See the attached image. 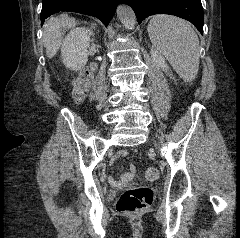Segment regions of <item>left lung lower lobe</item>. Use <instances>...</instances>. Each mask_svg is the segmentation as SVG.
Masks as SVG:
<instances>
[{
  "label": "left lung lower lobe",
  "mask_w": 240,
  "mask_h": 238,
  "mask_svg": "<svg viewBox=\"0 0 240 238\" xmlns=\"http://www.w3.org/2000/svg\"><path fill=\"white\" fill-rule=\"evenodd\" d=\"M134 10L138 23L154 14H169L193 23L203 34V8L201 0H125Z\"/></svg>",
  "instance_id": "left-lung-lower-lobe-1"
}]
</instances>
